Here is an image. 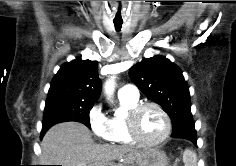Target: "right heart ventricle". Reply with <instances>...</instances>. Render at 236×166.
Wrapping results in <instances>:
<instances>
[{"instance_id":"e07e8e85","label":"right heart ventricle","mask_w":236,"mask_h":166,"mask_svg":"<svg viewBox=\"0 0 236 166\" xmlns=\"http://www.w3.org/2000/svg\"><path fill=\"white\" fill-rule=\"evenodd\" d=\"M119 99L121 106L127 111H130L138 105V100ZM109 140L120 146L136 145L128 133L125 118L118 116H113L109 119Z\"/></svg>"}]
</instances>
